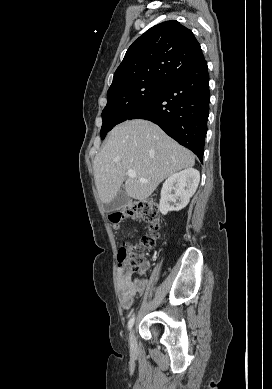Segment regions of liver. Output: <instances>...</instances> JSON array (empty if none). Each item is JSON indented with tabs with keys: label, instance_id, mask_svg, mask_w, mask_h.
<instances>
[{
	"label": "liver",
	"instance_id": "obj_1",
	"mask_svg": "<svg viewBox=\"0 0 272 389\" xmlns=\"http://www.w3.org/2000/svg\"><path fill=\"white\" fill-rule=\"evenodd\" d=\"M194 164V155L154 123L125 121L113 128L94 158L95 185L103 203L117 195L123 182L131 198L145 200L164 179ZM128 170L136 177L128 178Z\"/></svg>",
	"mask_w": 272,
	"mask_h": 389
}]
</instances>
